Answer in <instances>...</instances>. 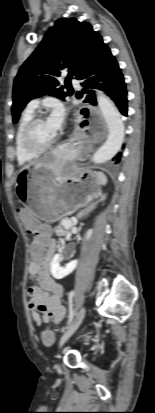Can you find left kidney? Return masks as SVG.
Instances as JSON below:
<instances>
[{"label": "left kidney", "instance_id": "5707ae66", "mask_svg": "<svg viewBox=\"0 0 155 413\" xmlns=\"http://www.w3.org/2000/svg\"><path fill=\"white\" fill-rule=\"evenodd\" d=\"M91 234H92V230H89L87 233V238H90ZM61 261H62L61 254H55L51 261V265H50L52 276L58 280L72 273L78 264V260H74L68 263L65 267H62L60 265Z\"/></svg>", "mask_w": 155, "mask_h": 413}]
</instances>
